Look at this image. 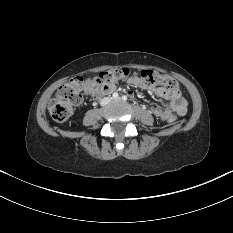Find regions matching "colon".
Masks as SVG:
<instances>
[{
  "label": "colon",
  "mask_w": 233,
  "mask_h": 233,
  "mask_svg": "<svg viewBox=\"0 0 233 233\" xmlns=\"http://www.w3.org/2000/svg\"><path fill=\"white\" fill-rule=\"evenodd\" d=\"M131 71L128 68H113L99 73L96 77H75L62 85L55 98L49 104V113L53 120L63 122L73 113L84 96H96L113 88L119 81L125 80ZM139 79L151 86H162L173 93L179 92L177 81L171 76L154 70H143ZM175 118L168 119L172 123Z\"/></svg>",
  "instance_id": "colon-1"
}]
</instances>
